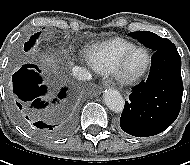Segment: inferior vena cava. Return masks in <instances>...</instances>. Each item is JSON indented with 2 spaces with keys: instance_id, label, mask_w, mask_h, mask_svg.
<instances>
[{
  "instance_id": "inferior-vena-cava-1",
  "label": "inferior vena cava",
  "mask_w": 190,
  "mask_h": 165,
  "mask_svg": "<svg viewBox=\"0 0 190 165\" xmlns=\"http://www.w3.org/2000/svg\"><path fill=\"white\" fill-rule=\"evenodd\" d=\"M72 73L73 76L78 79V80H90L91 79V74L88 72L86 69L82 67L75 66L72 68Z\"/></svg>"
}]
</instances>
